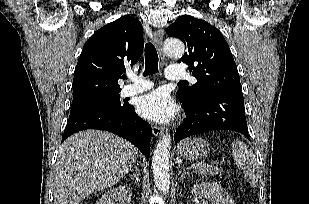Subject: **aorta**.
I'll return each instance as SVG.
<instances>
[{
  "mask_svg": "<svg viewBox=\"0 0 309 204\" xmlns=\"http://www.w3.org/2000/svg\"><path fill=\"white\" fill-rule=\"evenodd\" d=\"M167 56L181 58L185 52L184 44L176 39L167 40L164 44ZM171 149V137L166 134L158 141L153 157L152 171L156 187L161 192H167L170 184L169 156Z\"/></svg>",
  "mask_w": 309,
  "mask_h": 204,
  "instance_id": "obj_1",
  "label": "aorta"
}]
</instances>
